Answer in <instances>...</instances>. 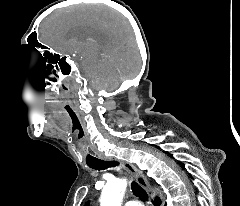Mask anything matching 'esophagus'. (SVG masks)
I'll list each match as a JSON object with an SVG mask.
<instances>
[{"instance_id":"obj_1","label":"esophagus","mask_w":240,"mask_h":206,"mask_svg":"<svg viewBox=\"0 0 240 206\" xmlns=\"http://www.w3.org/2000/svg\"><path fill=\"white\" fill-rule=\"evenodd\" d=\"M102 159L104 161H117L120 163V165L130 174L132 175L135 180L137 181V183L143 187L146 192L148 193V195L150 196L151 199H154L155 194L152 191V188L149 184V182L147 181V179L142 175V173L131 163L123 161V160H118L116 158L113 157H107V156H103Z\"/></svg>"}]
</instances>
